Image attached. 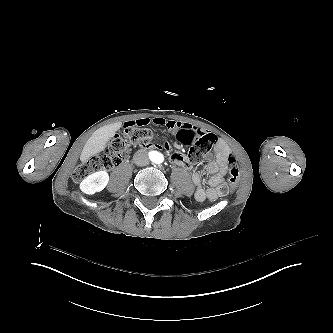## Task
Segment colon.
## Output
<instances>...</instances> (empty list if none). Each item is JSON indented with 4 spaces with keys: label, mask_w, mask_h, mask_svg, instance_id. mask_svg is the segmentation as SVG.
Wrapping results in <instances>:
<instances>
[{
    "label": "colon",
    "mask_w": 333,
    "mask_h": 333,
    "mask_svg": "<svg viewBox=\"0 0 333 333\" xmlns=\"http://www.w3.org/2000/svg\"><path fill=\"white\" fill-rule=\"evenodd\" d=\"M191 129L187 126L184 131L178 134V141L184 144L195 143L190 149V159L192 162L201 161L203 157L210 153L212 145L216 139L212 135L201 136L203 133L198 129L196 132L199 136H192ZM153 140L150 131L143 128H132L123 130V135L110 138L103 148L102 154L89 157L83 164L77 166L72 174L74 180H81L84 177L96 172L105 171L116 167L122 160H125L130 150V144L148 145ZM229 186L221 188L222 192H229L234 188L240 178V167L236 157L229 156Z\"/></svg>",
    "instance_id": "5ec220e1"
}]
</instances>
